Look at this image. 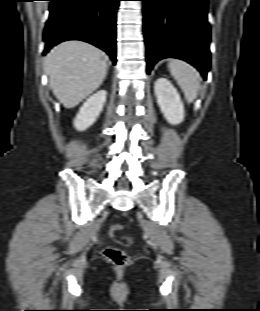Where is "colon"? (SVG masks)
Masks as SVG:
<instances>
[{
	"mask_svg": "<svg viewBox=\"0 0 260 311\" xmlns=\"http://www.w3.org/2000/svg\"><path fill=\"white\" fill-rule=\"evenodd\" d=\"M122 227L118 224H114L110 228V234L116 236ZM104 257L113 265L122 267L127 264L128 256L126 252L119 248L109 247L106 248L103 252Z\"/></svg>",
	"mask_w": 260,
	"mask_h": 311,
	"instance_id": "colon-1",
	"label": "colon"
}]
</instances>
